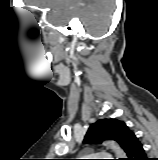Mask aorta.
<instances>
[{
    "label": "aorta",
    "mask_w": 158,
    "mask_h": 160,
    "mask_svg": "<svg viewBox=\"0 0 158 160\" xmlns=\"http://www.w3.org/2000/svg\"><path fill=\"white\" fill-rule=\"evenodd\" d=\"M108 145L110 149L114 152L117 159H124L126 158V154L124 150L114 141H109Z\"/></svg>",
    "instance_id": "aorta-1"
}]
</instances>
